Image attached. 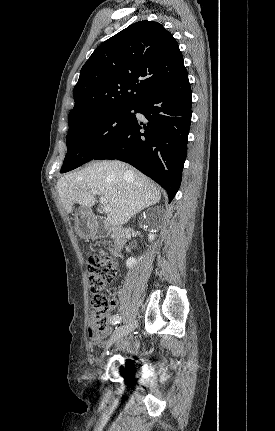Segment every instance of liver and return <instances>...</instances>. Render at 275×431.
<instances>
[{
  "mask_svg": "<svg viewBox=\"0 0 275 431\" xmlns=\"http://www.w3.org/2000/svg\"><path fill=\"white\" fill-rule=\"evenodd\" d=\"M97 190L109 202L107 216L113 226L127 223L142 209L161 199L160 189L144 174L121 161H97L80 171L61 177L57 182L60 202L67 213L75 203L91 210Z\"/></svg>",
  "mask_w": 275,
  "mask_h": 431,
  "instance_id": "6515ba94",
  "label": "liver"
}]
</instances>
